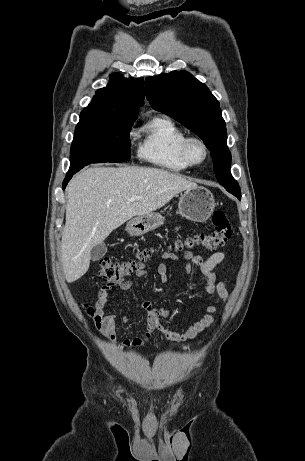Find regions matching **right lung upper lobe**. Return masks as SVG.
Listing matches in <instances>:
<instances>
[{
    "mask_svg": "<svg viewBox=\"0 0 305 461\" xmlns=\"http://www.w3.org/2000/svg\"><path fill=\"white\" fill-rule=\"evenodd\" d=\"M105 88L99 89L93 101L81 114L118 119H135L144 102V80L124 78L113 73Z\"/></svg>",
    "mask_w": 305,
    "mask_h": 461,
    "instance_id": "1",
    "label": "right lung upper lobe"
}]
</instances>
